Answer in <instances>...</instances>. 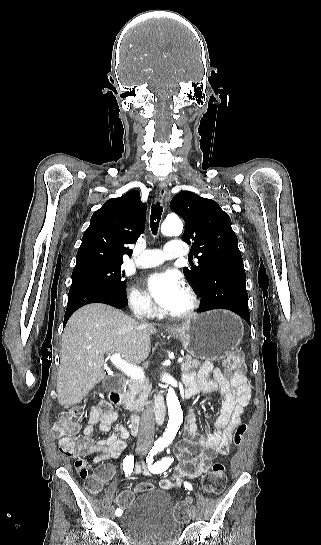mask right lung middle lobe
I'll return each instance as SVG.
<instances>
[{"label":"right lung middle lobe","instance_id":"1","mask_svg":"<svg viewBox=\"0 0 321 545\" xmlns=\"http://www.w3.org/2000/svg\"><path fill=\"white\" fill-rule=\"evenodd\" d=\"M122 264H97L89 265L73 270L72 283L94 282L112 287L119 291H126L124 272H121Z\"/></svg>","mask_w":321,"mask_h":545}]
</instances>
